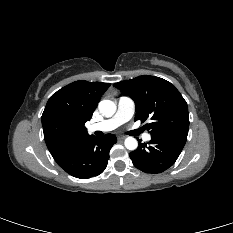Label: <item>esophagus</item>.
<instances>
[{
  "mask_svg": "<svg viewBox=\"0 0 233 233\" xmlns=\"http://www.w3.org/2000/svg\"><path fill=\"white\" fill-rule=\"evenodd\" d=\"M125 137L124 136H118V140H124Z\"/></svg>",
  "mask_w": 233,
  "mask_h": 233,
  "instance_id": "34e87169",
  "label": "esophagus"
}]
</instances>
